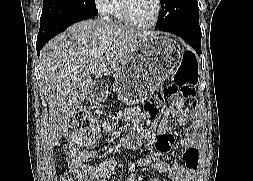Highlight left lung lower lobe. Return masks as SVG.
<instances>
[{
    "label": "left lung lower lobe",
    "mask_w": 253,
    "mask_h": 181,
    "mask_svg": "<svg viewBox=\"0 0 253 181\" xmlns=\"http://www.w3.org/2000/svg\"><path fill=\"white\" fill-rule=\"evenodd\" d=\"M161 31L173 33L182 39H184L189 45H191L197 54H201V29L199 25L187 26V25H167L157 27Z\"/></svg>",
    "instance_id": "1"
}]
</instances>
